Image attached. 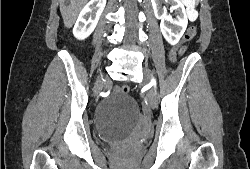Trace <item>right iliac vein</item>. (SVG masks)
I'll return each mask as SVG.
<instances>
[{
  "mask_svg": "<svg viewBox=\"0 0 250 169\" xmlns=\"http://www.w3.org/2000/svg\"><path fill=\"white\" fill-rule=\"evenodd\" d=\"M101 88H102V82L101 80H98L96 82L95 94H97V91H99Z\"/></svg>",
  "mask_w": 250,
  "mask_h": 169,
  "instance_id": "obj_1",
  "label": "right iliac vein"
}]
</instances>
